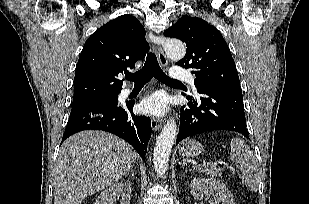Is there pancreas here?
<instances>
[{
	"label": "pancreas",
	"mask_w": 309,
	"mask_h": 204,
	"mask_svg": "<svg viewBox=\"0 0 309 204\" xmlns=\"http://www.w3.org/2000/svg\"><path fill=\"white\" fill-rule=\"evenodd\" d=\"M196 169L202 173L213 176H221L223 171L221 168H217L215 163H207L199 165Z\"/></svg>",
	"instance_id": "cf45deb5"
}]
</instances>
